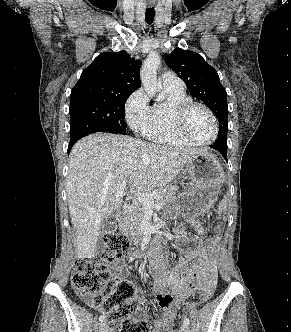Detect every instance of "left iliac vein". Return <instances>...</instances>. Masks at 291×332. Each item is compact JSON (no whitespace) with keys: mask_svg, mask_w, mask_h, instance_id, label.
Returning a JSON list of instances; mask_svg holds the SVG:
<instances>
[{"mask_svg":"<svg viewBox=\"0 0 291 332\" xmlns=\"http://www.w3.org/2000/svg\"><path fill=\"white\" fill-rule=\"evenodd\" d=\"M179 332H190V328L187 324L184 323L180 326Z\"/></svg>","mask_w":291,"mask_h":332,"instance_id":"4c4485c4","label":"left iliac vein"}]
</instances>
